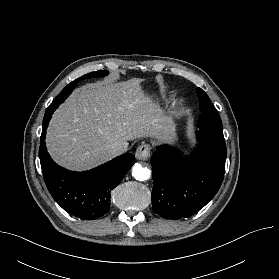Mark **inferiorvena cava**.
I'll use <instances>...</instances> for the list:
<instances>
[{"instance_id":"inferior-vena-cava-1","label":"inferior vena cava","mask_w":279,"mask_h":279,"mask_svg":"<svg viewBox=\"0 0 279 279\" xmlns=\"http://www.w3.org/2000/svg\"><path fill=\"white\" fill-rule=\"evenodd\" d=\"M126 151H127V147L126 146L115 145V146H112L109 149V154L114 157V156L121 155V154L125 153Z\"/></svg>"}]
</instances>
